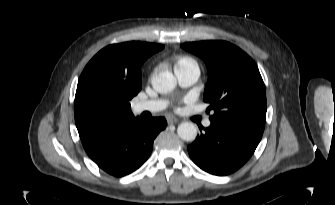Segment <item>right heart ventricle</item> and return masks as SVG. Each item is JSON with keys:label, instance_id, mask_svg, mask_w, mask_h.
<instances>
[{"label": "right heart ventricle", "instance_id": "obj_1", "mask_svg": "<svg viewBox=\"0 0 335 205\" xmlns=\"http://www.w3.org/2000/svg\"><path fill=\"white\" fill-rule=\"evenodd\" d=\"M189 65L197 66V63L194 59L187 57V56H183L177 60L175 67H184V66H189Z\"/></svg>", "mask_w": 335, "mask_h": 205}]
</instances>
